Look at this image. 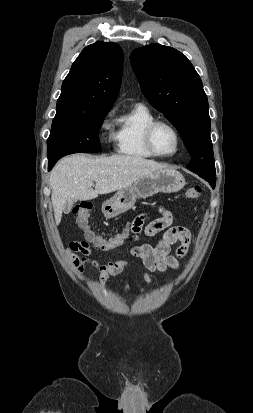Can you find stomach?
<instances>
[{"label": "stomach", "mask_w": 253, "mask_h": 413, "mask_svg": "<svg viewBox=\"0 0 253 413\" xmlns=\"http://www.w3.org/2000/svg\"><path fill=\"white\" fill-rule=\"evenodd\" d=\"M186 185L183 175L172 168H165L145 175L135 181L130 187L121 189L105 201L102 212L106 217L113 218L132 208L137 198H148L159 192L175 193Z\"/></svg>", "instance_id": "0dacf381"}]
</instances>
